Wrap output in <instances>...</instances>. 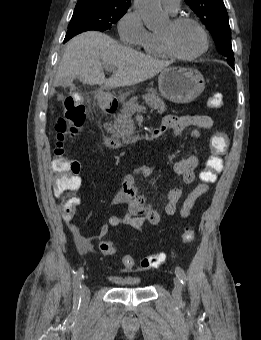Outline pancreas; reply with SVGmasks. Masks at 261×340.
<instances>
[{
    "label": "pancreas",
    "instance_id": "pancreas-1",
    "mask_svg": "<svg viewBox=\"0 0 261 340\" xmlns=\"http://www.w3.org/2000/svg\"><path fill=\"white\" fill-rule=\"evenodd\" d=\"M142 97L146 104L156 109L159 114L166 110L164 101L158 96L155 89H149L148 93ZM137 99V97H133L123 103L121 113L115 117L113 130H111L113 137L124 143L128 141V138L135 130L132 114L136 111L133 104H137Z\"/></svg>",
    "mask_w": 261,
    "mask_h": 340
}]
</instances>
